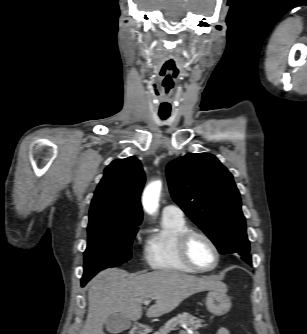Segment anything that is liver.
<instances>
[{"label": "liver", "mask_w": 307, "mask_h": 334, "mask_svg": "<svg viewBox=\"0 0 307 334\" xmlns=\"http://www.w3.org/2000/svg\"><path fill=\"white\" fill-rule=\"evenodd\" d=\"M223 285L215 277H196L176 271L131 275L118 268L103 270L89 283L88 315L80 334H104L103 324L115 313L136 322L142 316L145 300L156 301L147 310V316L159 317L174 310L190 295Z\"/></svg>", "instance_id": "obj_1"}]
</instances>
